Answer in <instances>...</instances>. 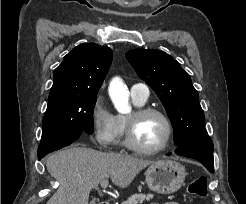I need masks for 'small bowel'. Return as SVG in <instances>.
<instances>
[{
  "mask_svg": "<svg viewBox=\"0 0 246 204\" xmlns=\"http://www.w3.org/2000/svg\"><path fill=\"white\" fill-rule=\"evenodd\" d=\"M151 204H157V203H151ZM164 204H179V203H176V202H168V203H164Z\"/></svg>",
  "mask_w": 246,
  "mask_h": 204,
  "instance_id": "small-bowel-1",
  "label": "small bowel"
}]
</instances>
